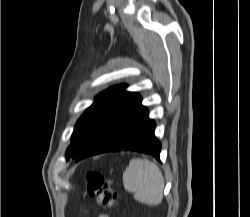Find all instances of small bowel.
I'll return each instance as SVG.
<instances>
[{"mask_svg":"<svg viewBox=\"0 0 250 217\" xmlns=\"http://www.w3.org/2000/svg\"><path fill=\"white\" fill-rule=\"evenodd\" d=\"M98 217H108L107 215L101 214Z\"/></svg>","mask_w":250,"mask_h":217,"instance_id":"obj_1","label":"small bowel"}]
</instances>
